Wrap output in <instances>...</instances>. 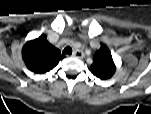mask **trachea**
<instances>
[{
    "label": "trachea",
    "mask_w": 151,
    "mask_h": 114,
    "mask_svg": "<svg viewBox=\"0 0 151 114\" xmlns=\"http://www.w3.org/2000/svg\"><path fill=\"white\" fill-rule=\"evenodd\" d=\"M63 53L64 54H72V48L71 47H69V46H67L64 50H63Z\"/></svg>",
    "instance_id": "trachea-1"
}]
</instances>
